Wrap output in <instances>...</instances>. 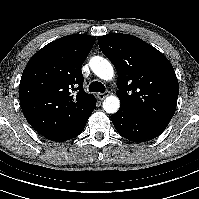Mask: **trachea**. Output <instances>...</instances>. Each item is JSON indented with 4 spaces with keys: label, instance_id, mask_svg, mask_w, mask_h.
<instances>
[{
    "label": "trachea",
    "instance_id": "obj_1",
    "mask_svg": "<svg viewBox=\"0 0 199 199\" xmlns=\"http://www.w3.org/2000/svg\"><path fill=\"white\" fill-rule=\"evenodd\" d=\"M89 91L90 92H100L104 93L105 92V86L98 81H94L89 85Z\"/></svg>",
    "mask_w": 199,
    "mask_h": 199
}]
</instances>
